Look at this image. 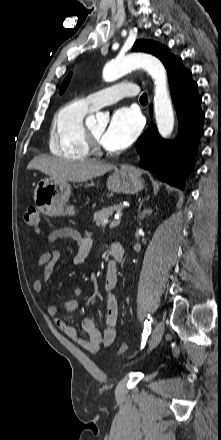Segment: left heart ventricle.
Masks as SVG:
<instances>
[{
	"mask_svg": "<svg viewBox=\"0 0 221 440\" xmlns=\"http://www.w3.org/2000/svg\"><path fill=\"white\" fill-rule=\"evenodd\" d=\"M105 126H93L90 127L89 130L91 133L100 141L101 137L104 133Z\"/></svg>",
	"mask_w": 221,
	"mask_h": 440,
	"instance_id": "left-heart-ventricle-1",
	"label": "left heart ventricle"
}]
</instances>
